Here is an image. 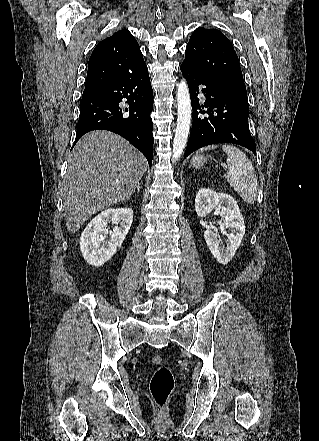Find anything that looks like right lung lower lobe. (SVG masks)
<instances>
[{
	"label": "right lung lower lobe",
	"mask_w": 319,
	"mask_h": 441,
	"mask_svg": "<svg viewBox=\"0 0 319 441\" xmlns=\"http://www.w3.org/2000/svg\"><path fill=\"white\" fill-rule=\"evenodd\" d=\"M123 99L129 104L126 109L119 106ZM152 109L153 90L148 69L144 67L82 97L75 143L92 130L112 131L139 149L151 165L154 143Z\"/></svg>",
	"instance_id": "98d812e1"
}]
</instances>
